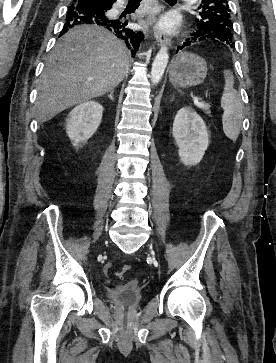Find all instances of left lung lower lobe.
<instances>
[{"label":"left lung lower lobe","instance_id":"0a47b994","mask_svg":"<svg viewBox=\"0 0 276 363\" xmlns=\"http://www.w3.org/2000/svg\"><path fill=\"white\" fill-rule=\"evenodd\" d=\"M191 38H187L186 41L183 43L182 46H179L177 48V51L179 49H183L187 46H190L191 44L193 43H197V42H201V41H204V40H207V39H210L211 36L208 35V34H205L202 30L198 29V30H195V32H193L191 34Z\"/></svg>","mask_w":276,"mask_h":363}]
</instances>
